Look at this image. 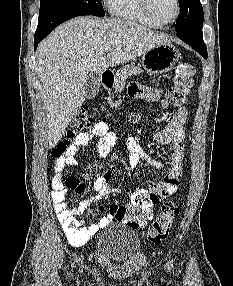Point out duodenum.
<instances>
[{
  "mask_svg": "<svg viewBox=\"0 0 233 286\" xmlns=\"http://www.w3.org/2000/svg\"><path fill=\"white\" fill-rule=\"evenodd\" d=\"M114 82V74L111 71H104L101 74V84L104 88H110Z\"/></svg>",
  "mask_w": 233,
  "mask_h": 286,
  "instance_id": "1",
  "label": "duodenum"
}]
</instances>
